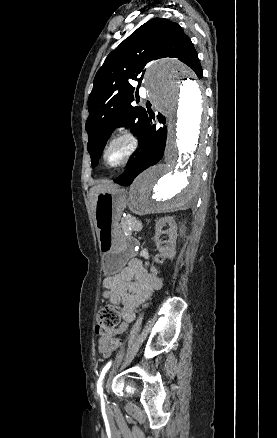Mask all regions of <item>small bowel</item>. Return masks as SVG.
I'll return each mask as SVG.
<instances>
[{
    "label": "small bowel",
    "instance_id": "1",
    "mask_svg": "<svg viewBox=\"0 0 277 438\" xmlns=\"http://www.w3.org/2000/svg\"><path fill=\"white\" fill-rule=\"evenodd\" d=\"M139 254L141 258H148L145 249H141ZM141 258L132 256L120 272L107 276L103 281L104 298L113 305H122V321L117 328L103 335L99 340L98 347L104 355H108L115 348L113 341L135 319L139 307L145 304L162 285L155 273L145 269Z\"/></svg>",
    "mask_w": 277,
    "mask_h": 438
}]
</instances>
